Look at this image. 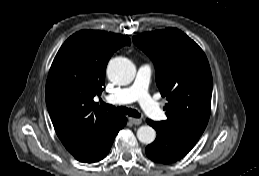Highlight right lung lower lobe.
Here are the masks:
<instances>
[{"label": "right lung lower lobe", "instance_id": "1", "mask_svg": "<svg viewBox=\"0 0 259 176\" xmlns=\"http://www.w3.org/2000/svg\"><path fill=\"white\" fill-rule=\"evenodd\" d=\"M127 119L123 116H119L117 120V124L113 127V129L107 133L102 139H100L91 149H89L84 154L75 156V158L81 162L93 163L103 159L109 152L114 138L121 130L125 124Z\"/></svg>", "mask_w": 259, "mask_h": 176}]
</instances>
